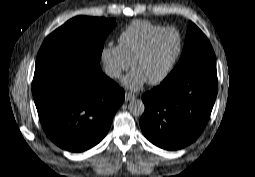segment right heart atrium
<instances>
[{
    "label": "right heart atrium",
    "instance_id": "right-heart-atrium-1",
    "mask_svg": "<svg viewBox=\"0 0 255 177\" xmlns=\"http://www.w3.org/2000/svg\"><path fill=\"white\" fill-rule=\"evenodd\" d=\"M100 57L107 75L112 79H119L130 66L117 44H105L101 49Z\"/></svg>",
    "mask_w": 255,
    "mask_h": 177
}]
</instances>
